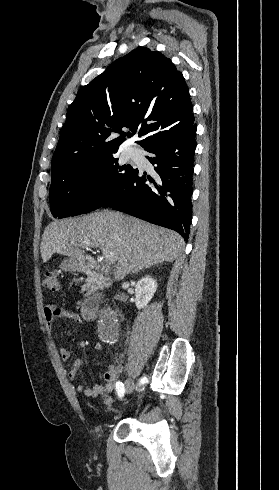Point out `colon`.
I'll list each match as a JSON object with an SVG mask.
<instances>
[{
	"label": "colon",
	"mask_w": 279,
	"mask_h": 490,
	"mask_svg": "<svg viewBox=\"0 0 279 490\" xmlns=\"http://www.w3.org/2000/svg\"><path fill=\"white\" fill-rule=\"evenodd\" d=\"M43 286L46 290L57 293L60 290V279L59 275L55 273H48L43 279ZM105 404L108 406L112 405L111 398L109 396L105 397Z\"/></svg>",
	"instance_id": "obj_1"
}]
</instances>
